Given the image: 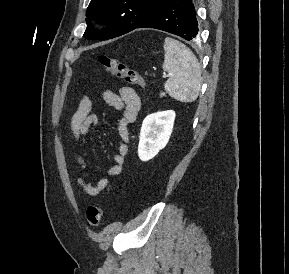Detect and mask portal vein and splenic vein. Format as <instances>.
I'll return each instance as SVG.
<instances>
[{
  "instance_id": "18ae733b",
  "label": "portal vein and splenic vein",
  "mask_w": 289,
  "mask_h": 274,
  "mask_svg": "<svg viewBox=\"0 0 289 274\" xmlns=\"http://www.w3.org/2000/svg\"><path fill=\"white\" fill-rule=\"evenodd\" d=\"M163 77H164V78H167V77H169V75H168V74H164Z\"/></svg>"
}]
</instances>
